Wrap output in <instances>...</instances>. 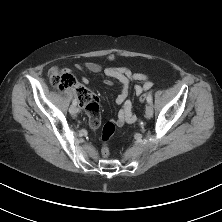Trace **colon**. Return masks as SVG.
<instances>
[{"label":"colon","mask_w":222,"mask_h":222,"mask_svg":"<svg viewBox=\"0 0 222 222\" xmlns=\"http://www.w3.org/2000/svg\"><path fill=\"white\" fill-rule=\"evenodd\" d=\"M51 84L58 89L65 88H75L77 91V96L79 101L83 104L88 113L98 112L99 111V99L98 97L88 89L79 86L75 78L68 72L52 71L50 72ZM149 99L147 94H142L140 101L147 102ZM115 132V125L112 122H107L102 128L101 139L103 142L102 145V154L104 157H107L109 154V148L107 145L108 140L112 137Z\"/></svg>","instance_id":"obj_1"}]
</instances>
